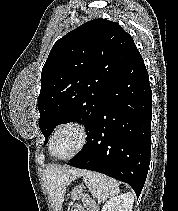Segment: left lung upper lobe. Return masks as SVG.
Wrapping results in <instances>:
<instances>
[{
    "instance_id": "left-lung-upper-lobe-1",
    "label": "left lung upper lobe",
    "mask_w": 178,
    "mask_h": 211,
    "mask_svg": "<svg viewBox=\"0 0 178 211\" xmlns=\"http://www.w3.org/2000/svg\"><path fill=\"white\" fill-rule=\"evenodd\" d=\"M118 23L94 19L59 39L41 73L39 127L45 142L54 128L76 121L90 132L107 92L136 51Z\"/></svg>"
}]
</instances>
